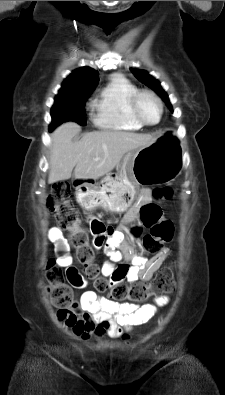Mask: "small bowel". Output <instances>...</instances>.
<instances>
[{"mask_svg": "<svg viewBox=\"0 0 225 395\" xmlns=\"http://www.w3.org/2000/svg\"><path fill=\"white\" fill-rule=\"evenodd\" d=\"M147 198L148 193L144 191L142 202L127 212V222H133L138 218L141 205ZM90 228L94 236L93 247L96 250L104 249L113 262L125 261L118 266L106 263L102 267V275L109 278L111 283L124 280L129 283L148 281L169 255L168 248H162L150 258L134 252L128 245H123L121 252L116 251L115 248L122 239L121 233L111 231L97 218L91 220ZM48 237L57 257L56 266H60V270H66L67 281H71V292H82L78 301L66 310L57 312L58 319L76 337L89 340L107 335L127 342L133 327L147 323L155 315L158 307L168 304L167 296H158L154 304L142 306L116 303L98 296L97 288H87L86 279H82L81 267H76V263H72V245L68 237H63L60 229L55 227L50 228Z\"/></svg>", "mask_w": 225, "mask_h": 395, "instance_id": "small-bowel-1", "label": "small bowel"}]
</instances>
